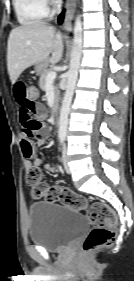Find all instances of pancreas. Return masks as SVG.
<instances>
[{"mask_svg":"<svg viewBox=\"0 0 134 281\" xmlns=\"http://www.w3.org/2000/svg\"><path fill=\"white\" fill-rule=\"evenodd\" d=\"M52 70L50 68H46L45 70H43L40 73V81H39V86L42 90H45V86H46V82H47V75L49 72H51ZM53 89H54V93H55V101H54V105H53V110H55L58 106V101H59V90L57 89V87L53 84Z\"/></svg>","mask_w":134,"mask_h":281,"instance_id":"obj_1","label":"pancreas"}]
</instances>
